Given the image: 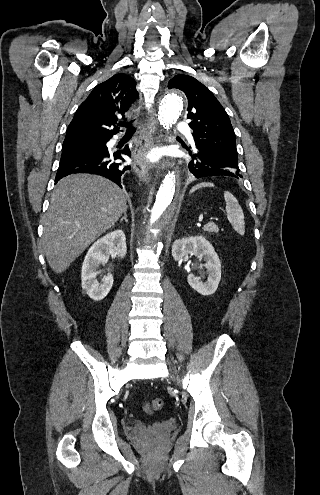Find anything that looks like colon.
I'll return each instance as SVG.
<instances>
[{
	"label": "colon",
	"mask_w": 320,
	"mask_h": 495,
	"mask_svg": "<svg viewBox=\"0 0 320 495\" xmlns=\"http://www.w3.org/2000/svg\"><path fill=\"white\" fill-rule=\"evenodd\" d=\"M163 407V401L161 399H153L145 404V411L148 415H156L161 411Z\"/></svg>",
	"instance_id": "obj_1"
}]
</instances>
